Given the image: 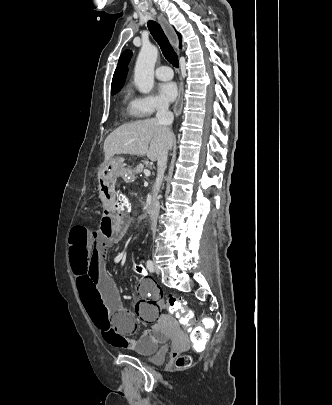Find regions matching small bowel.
<instances>
[{"label": "small bowel", "mask_w": 332, "mask_h": 405, "mask_svg": "<svg viewBox=\"0 0 332 405\" xmlns=\"http://www.w3.org/2000/svg\"><path fill=\"white\" fill-rule=\"evenodd\" d=\"M118 169L116 159H105L100 164L103 207L100 228L94 231L83 225L72 227L68 239L69 263L84 315H88L91 326H96L103 340L119 348L150 351L166 343V336L161 333V311L165 308L162 290L149 279H142L136 286L138 298L133 314L122 305L117 287L105 269L108 250L125 236L130 224L129 216L126 221L118 219L114 205L117 192L113 183L118 181ZM135 315L153 323L138 339L129 337L138 328Z\"/></svg>", "instance_id": "1"}]
</instances>
